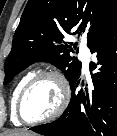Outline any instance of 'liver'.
Segmentation results:
<instances>
[{
    "label": "liver",
    "mask_w": 117,
    "mask_h": 136,
    "mask_svg": "<svg viewBox=\"0 0 117 136\" xmlns=\"http://www.w3.org/2000/svg\"><path fill=\"white\" fill-rule=\"evenodd\" d=\"M7 136H36V134L25 131V130H16V131L10 132Z\"/></svg>",
    "instance_id": "1"
}]
</instances>
